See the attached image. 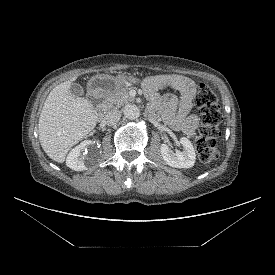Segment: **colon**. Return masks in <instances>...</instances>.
Masks as SVG:
<instances>
[{
  "instance_id": "5ec220e1",
  "label": "colon",
  "mask_w": 275,
  "mask_h": 275,
  "mask_svg": "<svg viewBox=\"0 0 275 275\" xmlns=\"http://www.w3.org/2000/svg\"><path fill=\"white\" fill-rule=\"evenodd\" d=\"M195 104L200 113V127L195 148L200 160L207 163L218 155L217 142L221 131L222 114L216 94L204 83L198 87Z\"/></svg>"
}]
</instances>
